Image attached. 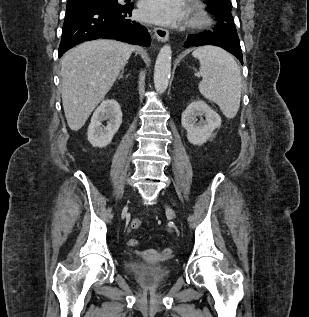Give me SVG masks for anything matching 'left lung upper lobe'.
Masks as SVG:
<instances>
[{
  "label": "left lung upper lobe",
  "mask_w": 309,
  "mask_h": 317,
  "mask_svg": "<svg viewBox=\"0 0 309 317\" xmlns=\"http://www.w3.org/2000/svg\"><path fill=\"white\" fill-rule=\"evenodd\" d=\"M208 12L217 16V31L237 34V30L231 15L232 4L230 0H207Z\"/></svg>",
  "instance_id": "left-lung-upper-lobe-1"
}]
</instances>
